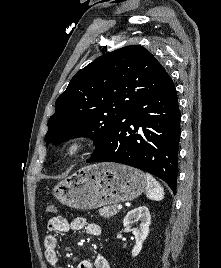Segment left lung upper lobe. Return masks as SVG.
<instances>
[{
  "label": "left lung upper lobe",
  "mask_w": 221,
  "mask_h": 268,
  "mask_svg": "<svg viewBox=\"0 0 221 268\" xmlns=\"http://www.w3.org/2000/svg\"><path fill=\"white\" fill-rule=\"evenodd\" d=\"M170 81L163 66L140 45L106 53L77 72L58 97L46 143L90 137L94 156L129 109Z\"/></svg>",
  "instance_id": "5c2ea615"
}]
</instances>
